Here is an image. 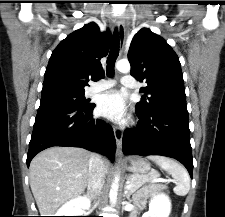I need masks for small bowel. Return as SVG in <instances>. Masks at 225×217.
<instances>
[{
  "instance_id": "small-bowel-1",
  "label": "small bowel",
  "mask_w": 225,
  "mask_h": 217,
  "mask_svg": "<svg viewBox=\"0 0 225 217\" xmlns=\"http://www.w3.org/2000/svg\"><path fill=\"white\" fill-rule=\"evenodd\" d=\"M163 188L159 184H151L142 187L135 195H134V203L140 204L144 202V200L151 196L154 195L155 193L161 191ZM131 217H135L132 215Z\"/></svg>"
}]
</instances>
